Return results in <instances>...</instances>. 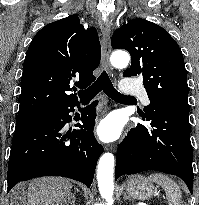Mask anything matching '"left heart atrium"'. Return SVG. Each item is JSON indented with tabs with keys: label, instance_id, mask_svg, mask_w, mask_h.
I'll list each match as a JSON object with an SVG mask.
<instances>
[{
	"label": "left heart atrium",
	"instance_id": "39dd6f15",
	"mask_svg": "<svg viewBox=\"0 0 199 205\" xmlns=\"http://www.w3.org/2000/svg\"><path fill=\"white\" fill-rule=\"evenodd\" d=\"M122 121L114 114L108 115L97 126L96 133L104 142L116 140L122 131Z\"/></svg>",
	"mask_w": 199,
	"mask_h": 205
}]
</instances>
